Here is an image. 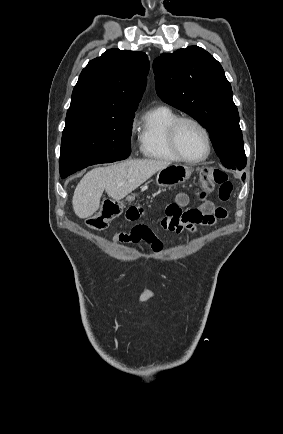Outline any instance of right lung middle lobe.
<instances>
[{
    "label": "right lung middle lobe",
    "mask_w": 283,
    "mask_h": 434,
    "mask_svg": "<svg viewBox=\"0 0 283 434\" xmlns=\"http://www.w3.org/2000/svg\"><path fill=\"white\" fill-rule=\"evenodd\" d=\"M134 115L65 122L59 159L62 178L87 166L126 159Z\"/></svg>",
    "instance_id": "right-lung-middle-lobe-1"
}]
</instances>
